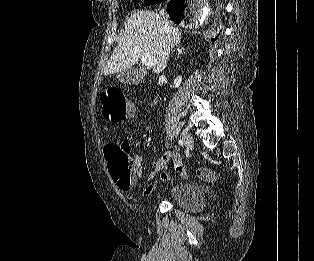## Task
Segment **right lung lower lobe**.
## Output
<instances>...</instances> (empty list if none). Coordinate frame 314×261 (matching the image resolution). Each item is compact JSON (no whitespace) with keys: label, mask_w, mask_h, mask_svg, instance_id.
I'll use <instances>...</instances> for the list:
<instances>
[{"label":"right lung lower lobe","mask_w":314,"mask_h":261,"mask_svg":"<svg viewBox=\"0 0 314 261\" xmlns=\"http://www.w3.org/2000/svg\"><path fill=\"white\" fill-rule=\"evenodd\" d=\"M163 1L166 0H162L161 2ZM187 9L188 7L184 0H170L167 6V13L172 21L179 24L182 20H185ZM217 37L211 39L212 43L216 41Z\"/></svg>","instance_id":"98d812e1"}]
</instances>
